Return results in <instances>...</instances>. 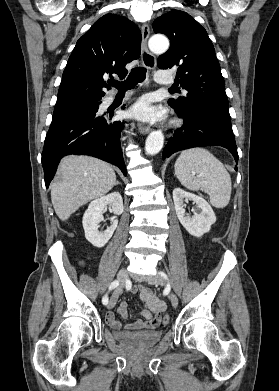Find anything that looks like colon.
Wrapping results in <instances>:
<instances>
[{
	"label": "colon",
	"mask_w": 279,
	"mask_h": 391,
	"mask_svg": "<svg viewBox=\"0 0 279 391\" xmlns=\"http://www.w3.org/2000/svg\"><path fill=\"white\" fill-rule=\"evenodd\" d=\"M163 322H164L165 324H167V323L169 322V316H168V315H165V316L163 317Z\"/></svg>",
	"instance_id": "colon-1"
}]
</instances>
